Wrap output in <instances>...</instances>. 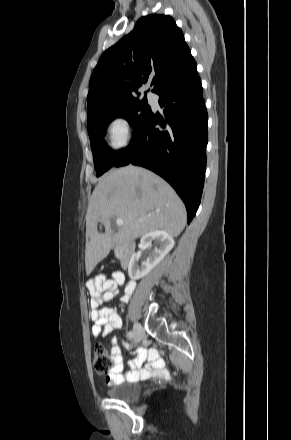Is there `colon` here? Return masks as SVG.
I'll list each match as a JSON object with an SVG mask.
<instances>
[{
    "mask_svg": "<svg viewBox=\"0 0 291 440\" xmlns=\"http://www.w3.org/2000/svg\"><path fill=\"white\" fill-rule=\"evenodd\" d=\"M109 362L110 360L106 348L101 344L96 345L93 356L95 370L98 373L107 374L110 369Z\"/></svg>",
    "mask_w": 291,
    "mask_h": 440,
    "instance_id": "colon-1",
    "label": "colon"
}]
</instances>
